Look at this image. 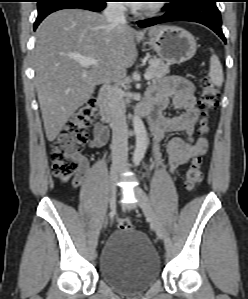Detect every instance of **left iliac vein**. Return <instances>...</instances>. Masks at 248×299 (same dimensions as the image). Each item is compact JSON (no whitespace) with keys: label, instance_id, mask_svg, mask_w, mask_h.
<instances>
[{"label":"left iliac vein","instance_id":"obj_1","mask_svg":"<svg viewBox=\"0 0 248 299\" xmlns=\"http://www.w3.org/2000/svg\"><path fill=\"white\" fill-rule=\"evenodd\" d=\"M134 194L138 201L139 206L149 216L151 225H152L156 235L159 238H162L163 233H162V229H161L160 220H159L158 216L156 215V213L154 212L153 207H152L146 193L139 186H135Z\"/></svg>","mask_w":248,"mask_h":299}]
</instances>
